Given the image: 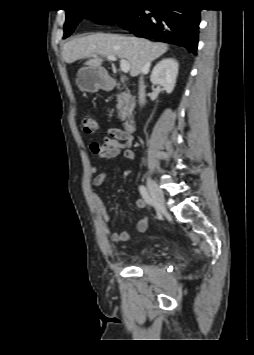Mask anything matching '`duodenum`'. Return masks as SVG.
I'll return each instance as SVG.
<instances>
[{
    "label": "duodenum",
    "instance_id": "duodenum-1",
    "mask_svg": "<svg viewBox=\"0 0 254 355\" xmlns=\"http://www.w3.org/2000/svg\"><path fill=\"white\" fill-rule=\"evenodd\" d=\"M135 127H136V122L134 118H129L124 123V130L129 134L135 131Z\"/></svg>",
    "mask_w": 254,
    "mask_h": 355
}]
</instances>
